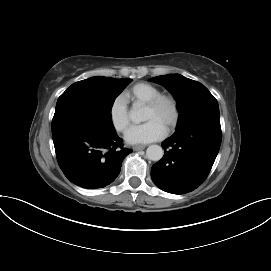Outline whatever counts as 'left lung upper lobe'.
Listing matches in <instances>:
<instances>
[{"label": "left lung upper lobe", "instance_id": "5c2ea615", "mask_svg": "<svg viewBox=\"0 0 271 271\" xmlns=\"http://www.w3.org/2000/svg\"><path fill=\"white\" fill-rule=\"evenodd\" d=\"M151 80L164 86L176 99L179 110L176 129L201 120H219L217 100L201 83L180 74L157 76Z\"/></svg>", "mask_w": 271, "mask_h": 271}]
</instances>
